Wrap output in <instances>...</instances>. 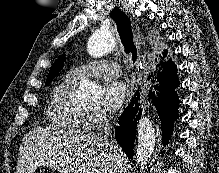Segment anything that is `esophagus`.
Instances as JSON below:
<instances>
[{"label":"esophagus","instance_id":"34e87169","mask_svg":"<svg viewBox=\"0 0 219 173\" xmlns=\"http://www.w3.org/2000/svg\"><path fill=\"white\" fill-rule=\"evenodd\" d=\"M138 39H139L140 43L145 46V38H144V36H143V35H140V34L138 33Z\"/></svg>","mask_w":219,"mask_h":173}]
</instances>
